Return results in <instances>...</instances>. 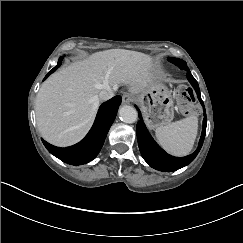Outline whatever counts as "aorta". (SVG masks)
Here are the masks:
<instances>
[{"mask_svg":"<svg viewBox=\"0 0 243 243\" xmlns=\"http://www.w3.org/2000/svg\"><path fill=\"white\" fill-rule=\"evenodd\" d=\"M120 117L125 123H134L137 121L138 114L135 108L132 106L125 105L119 110Z\"/></svg>","mask_w":243,"mask_h":243,"instance_id":"762f6f07","label":"aorta"}]
</instances>
